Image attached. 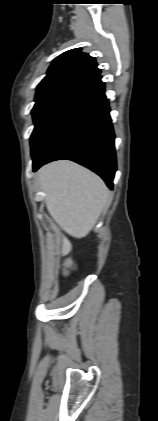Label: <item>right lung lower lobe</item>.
Listing matches in <instances>:
<instances>
[{"instance_id": "1", "label": "right lung lower lobe", "mask_w": 158, "mask_h": 421, "mask_svg": "<svg viewBox=\"0 0 158 421\" xmlns=\"http://www.w3.org/2000/svg\"><path fill=\"white\" fill-rule=\"evenodd\" d=\"M109 112L104 83L97 75L59 110L32 154L33 171L48 162L68 159L97 173L112 189L116 154Z\"/></svg>"}]
</instances>
